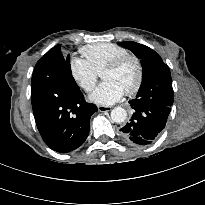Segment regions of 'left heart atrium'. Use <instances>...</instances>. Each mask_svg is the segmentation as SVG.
<instances>
[{
	"label": "left heart atrium",
	"instance_id": "left-heart-atrium-1",
	"mask_svg": "<svg viewBox=\"0 0 205 205\" xmlns=\"http://www.w3.org/2000/svg\"><path fill=\"white\" fill-rule=\"evenodd\" d=\"M125 90L114 81H104L90 95V100L101 105H111L119 101Z\"/></svg>",
	"mask_w": 205,
	"mask_h": 205
}]
</instances>
